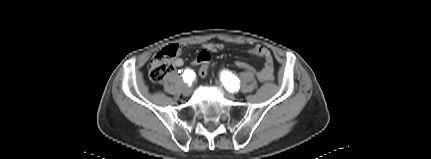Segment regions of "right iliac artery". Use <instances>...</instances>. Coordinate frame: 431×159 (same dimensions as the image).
Returning <instances> with one entry per match:
<instances>
[{
	"label": "right iliac artery",
	"mask_w": 431,
	"mask_h": 159,
	"mask_svg": "<svg viewBox=\"0 0 431 159\" xmlns=\"http://www.w3.org/2000/svg\"><path fill=\"white\" fill-rule=\"evenodd\" d=\"M184 82L186 83H191V81L194 79L195 77V73L193 72V70L191 69H186L182 75Z\"/></svg>",
	"instance_id": "obj_1"
}]
</instances>
